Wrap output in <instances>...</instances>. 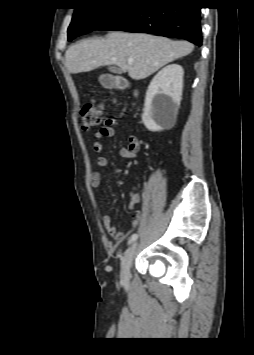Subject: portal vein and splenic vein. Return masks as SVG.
Masks as SVG:
<instances>
[{"label":"portal vein and splenic vein","mask_w":254,"mask_h":355,"mask_svg":"<svg viewBox=\"0 0 254 355\" xmlns=\"http://www.w3.org/2000/svg\"><path fill=\"white\" fill-rule=\"evenodd\" d=\"M127 61H128L129 64H132V63H133V59H131V58H128Z\"/></svg>","instance_id":"1"}]
</instances>
